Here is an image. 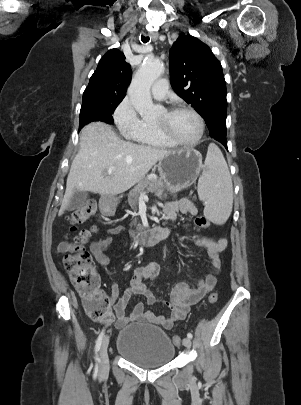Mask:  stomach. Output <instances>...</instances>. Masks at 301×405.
I'll list each match as a JSON object with an SVG mask.
<instances>
[{
    "label": "stomach",
    "instance_id": "0dacf381",
    "mask_svg": "<svg viewBox=\"0 0 301 405\" xmlns=\"http://www.w3.org/2000/svg\"><path fill=\"white\" fill-rule=\"evenodd\" d=\"M202 169V155L193 148L171 151L159 160L160 179L170 193L192 186Z\"/></svg>",
    "mask_w": 301,
    "mask_h": 405
}]
</instances>
